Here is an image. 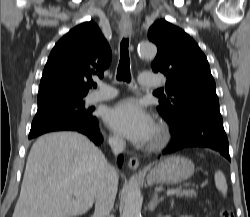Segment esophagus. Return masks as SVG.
I'll return each instance as SVG.
<instances>
[{
	"label": "esophagus",
	"mask_w": 250,
	"mask_h": 217,
	"mask_svg": "<svg viewBox=\"0 0 250 217\" xmlns=\"http://www.w3.org/2000/svg\"><path fill=\"white\" fill-rule=\"evenodd\" d=\"M121 36L127 37L132 32V22L129 18H122L119 24ZM139 159L135 156L131 157L128 161V166L131 170H137L139 167Z\"/></svg>",
	"instance_id": "obj_1"
}]
</instances>
